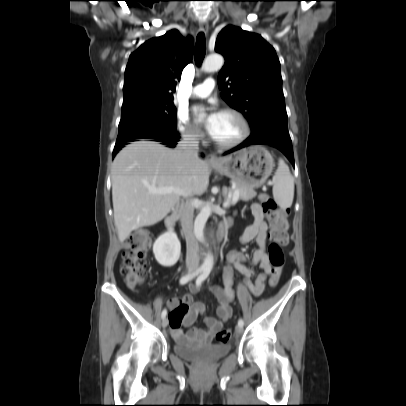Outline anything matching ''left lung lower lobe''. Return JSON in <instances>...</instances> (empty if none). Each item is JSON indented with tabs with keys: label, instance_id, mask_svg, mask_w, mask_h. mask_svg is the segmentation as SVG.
<instances>
[{
	"label": "left lung lower lobe",
	"instance_id": "0a47b994",
	"mask_svg": "<svg viewBox=\"0 0 406 406\" xmlns=\"http://www.w3.org/2000/svg\"><path fill=\"white\" fill-rule=\"evenodd\" d=\"M270 145L282 151L286 157L294 165V156L292 149V142L290 136L287 134H281L277 132H263L256 135H251L243 143L237 147L225 152L224 154H229L234 151H237L241 148L250 146V145Z\"/></svg>",
	"mask_w": 406,
	"mask_h": 406
}]
</instances>
